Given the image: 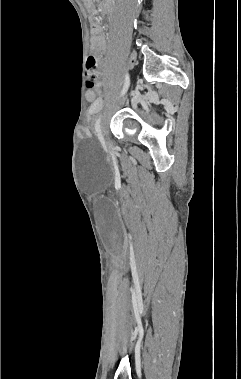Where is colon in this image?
I'll return each mask as SVG.
<instances>
[{
	"label": "colon",
	"mask_w": 241,
	"mask_h": 379,
	"mask_svg": "<svg viewBox=\"0 0 241 379\" xmlns=\"http://www.w3.org/2000/svg\"><path fill=\"white\" fill-rule=\"evenodd\" d=\"M94 29V27H93ZM92 29V33H93ZM130 53L127 54V59L129 64H134L137 62V47L136 46H131L130 47ZM86 73H87V86L89 88H92L95 86L97 79L99 78L100 75V68L98 65L97 60L94 57H89L87 59L86 63ZM105 92V89L103 87H98L97 88V93L98 94H103Z\"/></svg>",
	"instance_id": "colon-1"
}]
</instances>
